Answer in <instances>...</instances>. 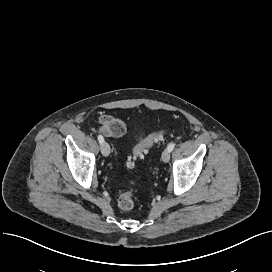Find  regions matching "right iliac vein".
<instances>
[{
  "label": "right iliac vein",
  "instance_id": "1",
  "mask_svg": "<svg viewBox=\"0 0 272 272\" xmlns=\"http://www.w3.org/2000/svg\"><path fill=\"white\" fill-rule=\"evenodd\" d=\"M101 152L103 156L107 157L110 154V146L107 142L101 144Z\"/></svg>",
  "mask_w": 272,
  "mask_h": 272
}]
</instances>
